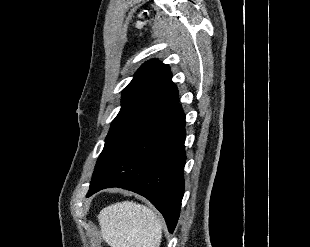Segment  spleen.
I'll return each mask as SVG.
<instances>
[{
  "mask_svg": "<svg viewBox=\"0 0 310 247\" xmlns=\"http://www.w3.org/2000/svg\"><path fill=\"white\" fill-rule=\"evenodd\" d=\"M100 234L111 247H159L162 223L150 208L132 201L107 206L98 215Z\"/></svg>",
  "mask_w": 310,
  "mask_h": 247,
  "instance_id": "3e777b00",
  "label": "spleen"
}]
</instances>
